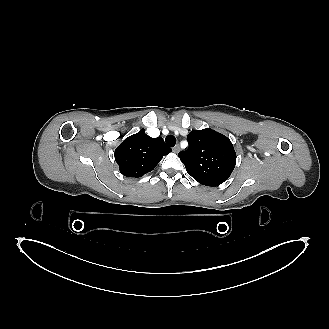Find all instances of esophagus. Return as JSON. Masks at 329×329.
Here are the masks:
<instances>
[{
	"label": "esophagus",
	"mask_w": 329,
	"mask_h": 329,
	"mask_svg": "<svg viewBox=\"0 0 329 329\" xmlns=\"http://www.w3.org/2000/svg\"><path fill=\"white\" fill-rule=\"evenodd\" d=\"M173 152L174 153H179L180 152V147H179V145H176L175 147H173Z\"/></svg>",
	"instance_id": "esophagus-1"
}]
</instances>
